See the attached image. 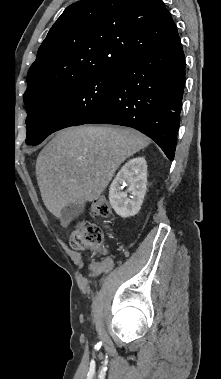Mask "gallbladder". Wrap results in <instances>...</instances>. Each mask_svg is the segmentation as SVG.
Segmentation results:
<instances>
[{
    "mask_svg": "<svg viewBox=\"0 0 221 379\" xmlns=\"http://www.w3.org/2000/svg\"><path fill=\"white\" fill-rule=\"evenodd\" d=\"M85 202L70 203L63 207L61 211L60 221L63 226H67L73 219L84 212Z\"/></svg>",
    "mask_w": 221,
    "mask_h": 379,
    "instance_id": "gallbladder-1",
    "label": "gallbladder"
}]
</instances>
